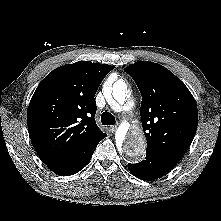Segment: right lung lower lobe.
<instances>
[{
    "label": "right lung lower lobe",
    "instance_id": "right-lung-lower-lobe-1",
    "mask_svg": "<svg viewBox=\"0 0 221 221\" xmlns=\"http://www.w3.org/2000/svg\"><path fill=\"white\" fill-rule=\"evenodd\" d=\"M103 138L93 140L68 156L48 164V168L61 176H69L79 172L88 164L98 143Z\"/></svg>",
    "mask_w": 221,
    "mask_h": 221
}]
</instances>
